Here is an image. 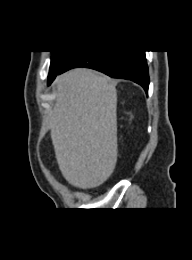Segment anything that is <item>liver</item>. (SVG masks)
I'll use <instances>...</instances> for the list:
<instances>
[{
	"mask_svg": "<svg viewBox=\"0 0 192 260\" xmlns=\"http://www.w3.org/2000/svg\"><path fill=\"white\" fill-rule=\"evenodd\" d=\"M116 83L86 68L56 79L51 139L63 177L81 188L101 185L117 161Z\"/></svg>",
	"mask_w": 192,
	"mask_h": 260,
	"instance_id": "1",
	"label": "liver"
}]
</instances>
